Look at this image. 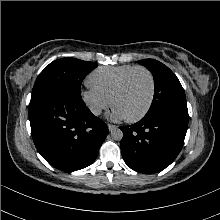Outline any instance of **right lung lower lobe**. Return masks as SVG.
<instances>
[{
	"label": "right lung lower lobe",
	"instance_id": "98d812e1",
	"mask_svg": "<svg viewBox=\"0 0 220 220\" xmlns=\"http://www.w3.org/2000/svg\"><path fill=\"white\" fill-rule=\"evenodd\" d=\"M29 120L38 152L50 165L67 172L92 164L109 133L82 99L58 91L32 94Z\"/></svg>",
	"mask_w": 220,
	"mask_h": 220
}]
</instances>
